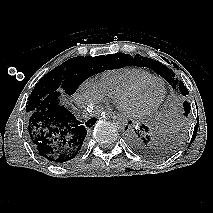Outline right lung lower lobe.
Wrapping results in <instances>:
<instances>
[{"label": "right lung lower lobe", "instance_id": "98d812e1", "mask_svg": "<svg viewBox=\"0 0 213 213\" xmlns=\"http://www.w3.org/2000/svg\"><path fill=\"white\" fill-rule=\"evenodd\" d=\"M60 93L46 96L26 118V128L33 148L46 161L63 164L74 160L84 150L87 132L97 121L81 122L60 104Z\"/></svg>", "mask_w": 213, "mask_h": 213}]
</instances>
